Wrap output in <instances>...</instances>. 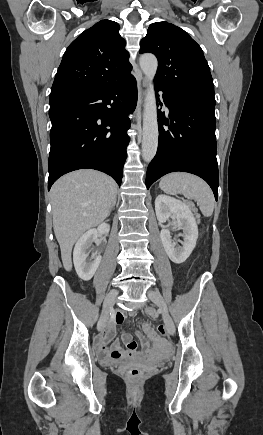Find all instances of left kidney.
I'll return each instance as SVG.
<instances>
[{
  "mask_svg": "<svg viewBox=\"0 0 263 435\" xmlns=\"http://www.w3.org/2000/svg\"><path fill=\"white\" fill-rule=\"evenodd\" d=\"M155 212L159 222L164 223L170 217H174L177 228L183 230L182 246L176 245L169 229H162L160 238L172 262L176 264L185 262L195 248L198 238V226L189 206L171 196L161 194L155 199Z\"/></svg>",
  "mask_w": 263,
  "mask_h": 435,
  "instance_id": "5707ae66",
  "label": "left kidney"
}]
</instances>
